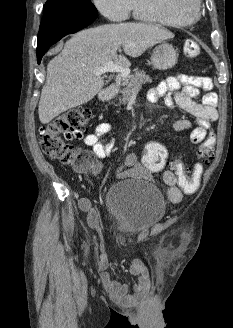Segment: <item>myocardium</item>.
<instances>
[{"label": "myocardium", "instance_id": "f54148a6", "mask_svg": "<svg viewBox=\"0 0 233 328\" xmlns=\"http://www.w3.org/2000/svg\"><path fill=\"white\" fill-rule=\"evenodd\" d=\"M156 5L184 24L195 23L201 15V0H153Z\"/></svg>", "mask_w": 233, "mask_h": 328}]
</instances>
